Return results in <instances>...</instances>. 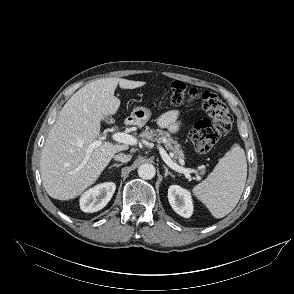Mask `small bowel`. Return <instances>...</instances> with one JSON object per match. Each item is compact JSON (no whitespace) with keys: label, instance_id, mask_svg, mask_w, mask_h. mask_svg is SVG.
<instances>
[{"label":"small bowel","instance_id":"1","mask_svg":"<svg viewBox=\"0 0 294 294\" xmlns=\"http://www.w3.org/2000/svg\"><path fill=\"white\" fill-rule=\"evenodd\" d=\"M178 117H179L178 111H175V110L168 111L160 116L158 120V124L161 127L166 128L170 132L175 133L178 131L180 127V122L178 120Z\"/></svg>","mask_w":294,"mask_h":294}]
</instances>
